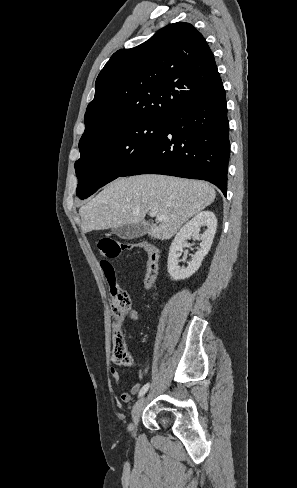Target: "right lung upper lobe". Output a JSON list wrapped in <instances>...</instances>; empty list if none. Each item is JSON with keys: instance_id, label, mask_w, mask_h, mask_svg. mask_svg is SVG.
<instances>
[{"instance_id": "cb5924a9", "label": "right lung upper lobe", "mask_w": 297, "mask_h": 488, "mask_svg": "<svg viewBox=\"0 0 297 488\" xmlns=\"http://www.w3.org/2000/svg\"><path fill=\"white\" fill-rule=\"evenodd\" d=\"M221 83L202 34L189 23L170 24L143 44L111 56L96 79L79 150L120 127L169 119Z\"/></svg>"}]
</instances>
